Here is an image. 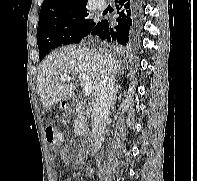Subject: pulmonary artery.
<instances>
[{
    "label": "pulmonary artery",
    "instance_id": "obj_1",
    "mask_svg": "<svg viewBox=\"0 0 197 181\" xmlns=\"http://www.w3.org/2000/svg\"><path fill=\"white\" fill-rule=\"evenodd\" d=\"M96 6L98 9L103 10L106 7V3L104 1H98Z\"/></svg>",
    "mask_w": 197,
    "mask_h": 181
}]
</instances>
